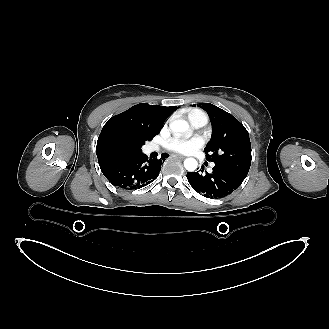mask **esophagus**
I'll return each instance as SVG.
<instances>
[{
  "label": "esophagus",
  "mask_w": 329,
  "mask_h": 329,
  "mask_svg": "<svg viewBox=\"0 0 329 329\" xmlns=\"http://www.w3.org/2000/svg\"><path fill=\"white\" fill-rule=\"evenodd\" d=\"M175 157H177V158H179V159H185V156H183V155H178V154H176V155H174Z\"/></svg>",
  "instance_id": "esophagus-1"
}]
</instances>
